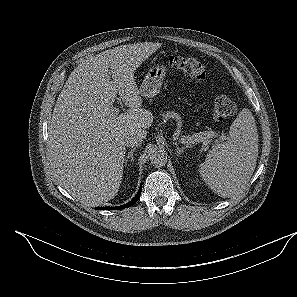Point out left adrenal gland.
<instances>
[{
    "label": "left adrenal gland",
    "mask_w": 297,
    "mask_h": 297,
    "mask_svg": "<svg viewBox=\"0 0 297 297\" xmlns=\"http://www.w3.org/2000/svg\"><path fill=\"white\" fill-rule=\"evenodd\" d=\"M175 146H176L177 156L181 155L184 152V150L188 148V146H184L180 148L177 143H175Z\"/></svg>",
    "instance_id": "a2214340"
}]
</instances>
